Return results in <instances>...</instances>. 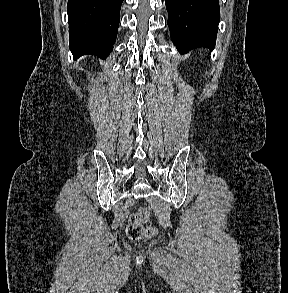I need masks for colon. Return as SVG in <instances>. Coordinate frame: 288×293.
I'll list each match as a JSON object with an SVG mask.
<instances>
[{
    "mask_svg": "<svg viewBox=\"0 0 288 293\" xmlns=\"http://www.w3.org/2000/svg\"><path fill=\"white\" fill-rule=\"evenodd\" d=\"M148 218L149 211L145 207H141L138 211L130 216L126 229V233L129 239L133 241H140L155 236V229L144 226V223L148 220Z\"/></svg>",
    "mask_w": 288,
    "mask_h": 293,
    "instance_id": "colon-1",
    "label": "colon"
}]
</instances>
